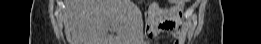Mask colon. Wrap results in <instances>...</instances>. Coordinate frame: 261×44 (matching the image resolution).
Instances as JSON below:
<instances>
[{
	"instance_id": "1",
	"label": "colon",
	"mask_w": 261,
	"mask_h": 44,
	"mask_svg": "<svg viewBox=\"0 0 261 44\" xmlns=\"http://www.w3.org/2000/svg\"><path fill=\"white\" fill-rule=\"evenodd\" d=\"M173 4H177V5H185V3L187 2L186 0H173L171 1Z\"/></svg>"
}]
</instances>
